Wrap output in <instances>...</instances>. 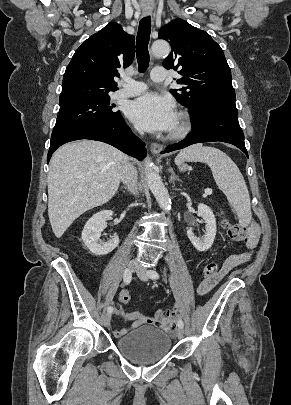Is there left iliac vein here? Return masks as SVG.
<instances>
[{
    "instance_id": "left-iliac-vein-1",
    "label": "left iliac vein",
    "mask_w": 291,
    "mask_h": 405,
    "mask_svg": "<svg viewBox=\"0 0 291 405\" xmlns=\"http://www.w3.org/2000/svg\"><path fill=\"white\" fill-rule=\"evenodd\" d=\"M136 273L138 275V277L143 280V281H147L148 280V274H147V269L143 266H139L136 270ZM184 336V330L183 328H178L177 330V337L179 339H182Z\"/></svg>"
}]
</instances>
